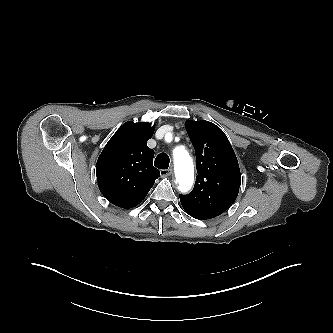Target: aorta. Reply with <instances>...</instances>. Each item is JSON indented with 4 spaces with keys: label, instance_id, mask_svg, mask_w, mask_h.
<instances>
[{
    "label": "aorta",
    "instance_id": "obj_1",
    "mask_svg": "<svg viewBox=\"0 0 333 333\" xmlns=\"http://www.w3.org/2000/svg\"><path fill=\"white\" fill-rule=\"evenodd\" d=\"M176 181L181 192L188 191L193 184V161L183 147H177L173 152Z\"/></svg>",
    "mask_w": 333,
    "mask_h": 333
}]
</instances>
